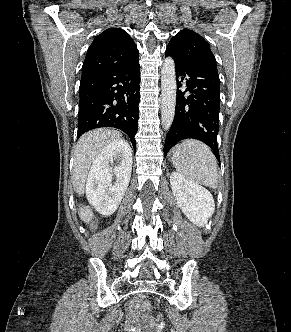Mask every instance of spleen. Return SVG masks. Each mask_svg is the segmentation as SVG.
<instances>
[{
	"label": "spleen",
	"instance_id": "3e777b00",
	"mask_svg": "<svg viewBox=\"0 0 291 332\" xmlns=\"http://www.w3.org/2000/svg\"><path fill=\"white\" fill-rule=\"evenodd\" d=\"M172 163L188 180L210 188L218 187L217 160L204 143L194 139L183 141L173 151Z\"/></svg>",
	"mask_w": 291,
	"mask_h": 332
}]
</instances>
